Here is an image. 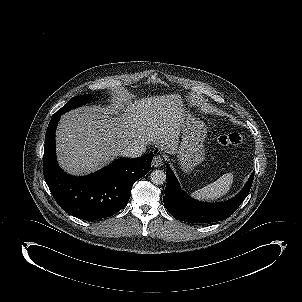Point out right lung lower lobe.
Returning <instances> with one entry per match:
<instances>
[{"label": "right lung lower lobe", "mask_w": 302, "mask_h": 302, "mask_svg": "<svg viewBox=\"0 0 302 302\" xmlns=\"http://www.w3.org/2000/svg\"><path fill=\"white\" fill-rule=\"evenodd\" d=\"M61 114L52 116L45 135L43 172L59 206L68 214L87 221L110 217L126 206L133 184L151 168L152 154L119 159L88 176L64 173L55 156V131Z\"/></svg>", "instance_id": "obj_1"}]
</instances>
